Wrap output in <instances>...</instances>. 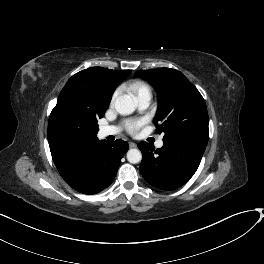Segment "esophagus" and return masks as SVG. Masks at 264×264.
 <instances>
[{"label": "esophagus", "instance_id": "obj_1", "mask_svg": "<svg viewBox=\"0 0 264 264\" xmlns=\"http://www.w3.org/2000/svg\"><path fill=\"white\" fill-rule=\"evenodd\" d=\"M129 146H130V148H135L137 145H136V143H134V142H130V143H129Z\"/></svg>", "mask_w": 264, "mask_h": 264}]
</instances>
